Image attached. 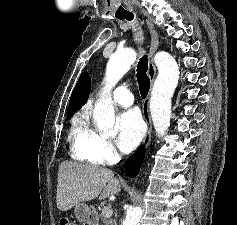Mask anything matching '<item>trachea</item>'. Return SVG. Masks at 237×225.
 <instances>
[{"mask_svg": "<svg viewBox=\"0 0 237 225\" xmlns=\"http://www.w3.org/2000/svg\"><path fill=\"white\" fill-rule=\"evenodd\" d=\"M125 18L126 20H132L134 18L133 14H126L120 17L119 19ZM147 70H148V59L147 56L144 55L140 58L138 64H137V80L139 84V90L141 97L144 99L150 88V79L147 76Z\"/></svg>", "mask_w": 237, "mask_h": 225, "instance_id": "1", "label": "trachea"}]
</instances>
